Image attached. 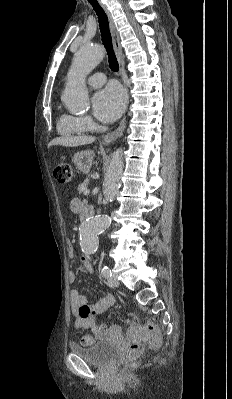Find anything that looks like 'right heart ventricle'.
Segmentation results:
<instances>
[{
	"instance_id": "obj_1",
	"label": "right heart ventricle",
	"mask_w": 232,
	"mask_h": 399,
	"mask_svg": "<svg viewBox=\"0 0 232 399\" xmlns=\"http://www.w3.org/2000/svg\"><path fill=\"white\" fill-rule=\"evenodd\" d=\"M92 128H88L82 121L80 117L63 114L59 116L56 122L57 133L67 139L76 140L82 138L85 133Z\"/></svg>"
}]
</instances>
